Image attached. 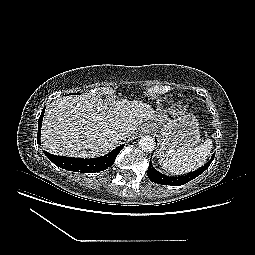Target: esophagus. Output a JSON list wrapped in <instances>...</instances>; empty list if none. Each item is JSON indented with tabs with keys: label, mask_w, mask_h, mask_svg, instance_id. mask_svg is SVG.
<instances>
[{
	"label": "esophagus",
	"mask_w": 255,
	"mask_h": 255,
	"mask_svg": "<svg viewBox=\"0 0 255 255\" xmlns=\"http://www.w3.org/2000/svg\"><path fill=\"white\" fill-rule=\"evenodd\" d=\"M152 125L150 124H144L141 128H140V132L142 134H148L152 131Z\"/></svg>",
	"instance_id": "esophagus-1"
}]
</instances>
